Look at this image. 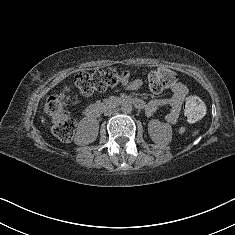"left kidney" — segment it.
<instances>
[{
	"label": "left kidney",
	"mask_w": 235,
	"mask_h": 235,
	"mask_svg": "<svg viewBox=\"0 0 235 235\" xmlns=\"http://www.w3.org/2000/svg\"><path fill=\"white\" fill-rule=\"evenodd\" d=\"M148 133L151 139L158 144L168 145L172 140L171 125L156 119L149 121Z\"/></svg>",
	"instance_id": "1"
}]
</instances>
